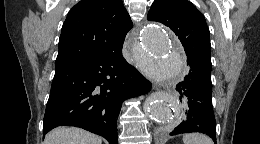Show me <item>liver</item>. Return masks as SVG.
Segmentation results:
<instances>
[{
    "instance_id": "obj_1",
    "label": "liver",
    "mask_w": 260,
    "mask_h": 144,
    "mask_svg": "<svg viewBox=\"0 0 260 144\" xmlns=\"http://www.w3.org/2000/svg\"><path fill=\"white\" fill-rule=\"evenodd\" d=\"M44 144H102V139L83 129L58 127L46 135Z\"/></svg>"
}]
</instances>
